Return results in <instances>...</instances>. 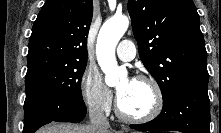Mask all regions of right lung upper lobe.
<instances>
[{
  "label": "right lung upper lobe",
  "mask_w": 221,
  "mask_h": 133,
  "mask_svg": "<svg viewBox=\"0 0 221 133\" xmlns=\"http://www.w3.org/2000/svg\"><path fill=\"white\" fill-rule=\"evenodd\" d=\"M92 0H47L32 27L27 74L55 66L87 62Z\"/></svg>",
  "instance_id": "cb5924a9"
}]
</instances>
